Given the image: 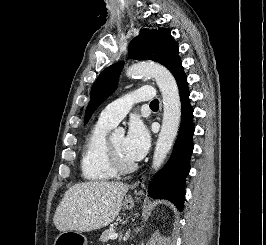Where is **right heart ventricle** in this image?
<instances>
[{"label":"right heart ventricle","instance_id":"right-heart-ventricle-1","mask_svg":"<svg viewBox=\"0 0 266 245\" xmlns=\"http://www.w3.org/2000/svg\"><path fill=\"white\" fill-rule=\"evenodd\" d=\"M112 124L97 120L89 130L82 149L80 170L82 178L91 184H106L116 179L106 162V135Z\"/></svg>","mask_w":266,"mask_h":245}]
</instances>
